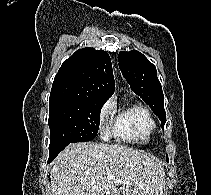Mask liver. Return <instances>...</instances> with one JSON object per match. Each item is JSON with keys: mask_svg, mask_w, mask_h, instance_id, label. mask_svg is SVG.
I'll return each instance as SVG.
<instances>
[{"mask_svg": "<svg viewBox=\"0 0 211 195\" xmlns=\"http://www.w3.org/2000/svg\"><path fill=\"white\" fill-rule=\"evenodd\" d=\"M50 179L51 195H164L165 190L162 162L120 144H70L58 155Z\"/></svg>", "mask_w": 211, "mask_h": 195, "instance_id": "obj_1", "label": "liver"}]
</instances>
